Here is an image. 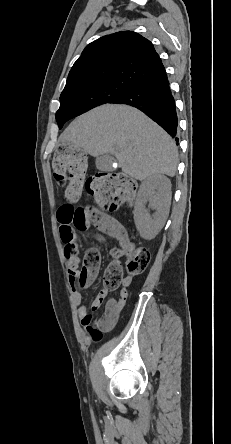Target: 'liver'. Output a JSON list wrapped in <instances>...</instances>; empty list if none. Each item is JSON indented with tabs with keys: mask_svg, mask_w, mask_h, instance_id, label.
Segmentation results:
<instances>
[{
	"mask_svg": "<svg viewBox=\"0 0 231 444\" xmlns=\"http://www.w3.org/2000/svg\"><path fill=\"white\" fill-rule=\"evenodd\" d=\"M93 157L113 154L122 171L137 180L173 177L178 150L173 139L138 109L105 104L77 117L61 134Z\"/></svg>",
	"mask_w": 231,
	"mask_h": 444,
	"instance_id": "liver-1",
	"label": "liver"
}]
</instances>
